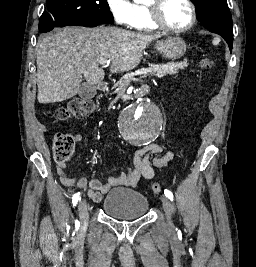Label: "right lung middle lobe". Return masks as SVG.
Listing matches in <instances>:
<instances>
[{"instance_id": "right-lung-middle-lobe-1", "label": "right lung middle lobe", "mask_w": 256, "mask_h": 267, "mask_svg": "<svg viewBox=\"0 0 256 267\" xmlns=\"http://www.w3.org/2000/svg\"><path fill=\"white\" fill-rule=\"evenodd\" d=\"M113 21L107 0H47L39 30L48 32L74 23L111 24Z\"/></svg>"}]
</instances>
